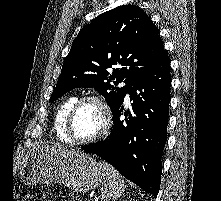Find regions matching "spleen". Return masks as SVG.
Listing matches in <instances>:
<instances>
[{"mask_svg":"<svg viewBox=\"0 0 221 201\" xmlns=\"http://www.w3.org/2000/svg\"><path fill=\"white\" fill-rule=\"evenodd\" d=\"M105 172L107 184L102 188L103 201H115L124 192V180L119 172L107 162H99Z\"/></svg>","mask_w":221,"mask_h":201,"instance_id":"obj_1","label":"spleen"}]
</instances>
